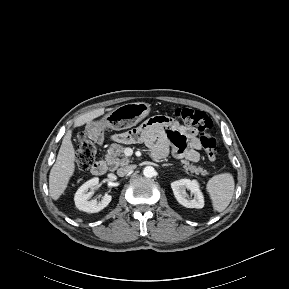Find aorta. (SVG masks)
Masks as SVG:
<instances>
[{
    "mask_svg": "<svg viewBox=\"0 0 289 289\" xmlns=\"http://www.w3.org/2000/svg\"><path fill=\"white\" fill-rule=\"evenodd\" d=\"M155 173V169L152 166H146L143 170V175L147 178L153 177Z\"/></svg>",
    "mask_w": 289,
    "mask_h": 289,
    "instance_id": "762f6f07",
    "label": "aorta"
}]
</instances>
